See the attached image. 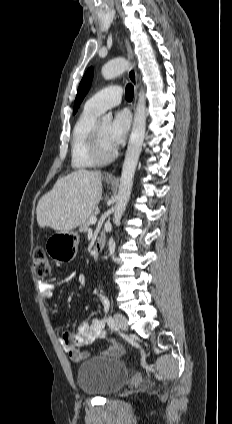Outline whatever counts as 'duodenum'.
<instances>
[{"label": "duodenum", "instance_id": "obj_1", "mask_svg": "<svg viewBox=\"0 0 232 424\" xmlns=\"http://www.w3.org/2000/svg\"><path fill=\"white\" fill-rule=\"evenodd\" d=\"M105 240H106L105 236L102 234L99 235L98 238L96 239L95 248H94L96 254H98L103 249L105 245Z\"/></svg>", "mask_w": 232, "mask_h": 424}]
</instances>
